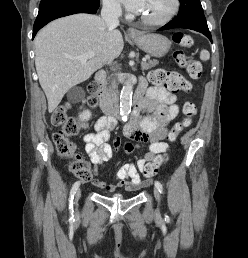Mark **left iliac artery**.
Returning <instances> with one entry per match:
<instances>
[{"mask_svg":"<svg viewBox=\"0 0 248 258\" xmlns=\"http://www.w3.org/2000/svg\"><path fill=\"white\" fill-rule=\"evenodd\" d=\"M155 186L157 187L160 193L163 192L162 184L159 181H155Z\"/></svg>","mask_w":248,"mask_h":258,"instance_id":"1","label":"left iliac artery"}]
</instances>
